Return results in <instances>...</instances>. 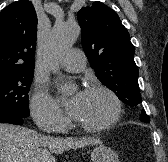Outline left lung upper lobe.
<instances>
[{
    "label": "left lung upper lobe",
    "instance_id": "obj_1",
    "mask_svg": "<svg viewBox=\"0 0 168 162\" xmlns=\"http://www.w3.org/2000/svg\"><path fill=\"white\" fill-rule=\"evenodd\" d=\"M84 52L99 80L125 104L141 103L134 46L119 16L102 2L77 13ZM141 119H149L144 111Z\"/></svg>",
    "mask_w": 168,
    "mask_h": 162
}]
</instances>
